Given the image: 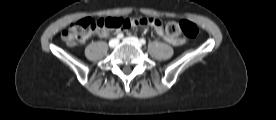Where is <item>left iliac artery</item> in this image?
Segmentation results:
<instances>
[{
    "mask_svg": "<svg viewBox=\"0 0 276 120\" xmlns=\"http://www.w3.org/2000/svg\"><path fill=\"white\" fill-rule=\"evenodd\" d=\"M141 44H146V40L144 38L140 39Z\"/></svg>",
    "mask_w": 276,
    "mask_h": 120,
    "instance_id": "obj_1",
    "label": "left iliac artery"
}]
</instances>
